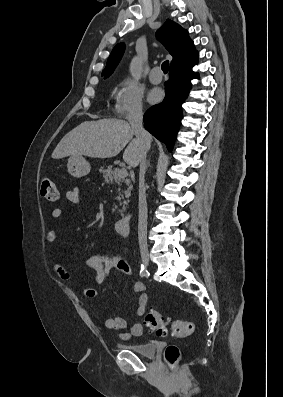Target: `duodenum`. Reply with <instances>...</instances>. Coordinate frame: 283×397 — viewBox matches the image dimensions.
<instances>
[{"label":"duodenum","mask_w":283,"mask_h":397,"mask_svg":"<svg viewBox=\"0 0 283 397\" xmlns=\"http://www.w3.org/2000/svg\"><path fill=\"white\" fill-rule=\"evenodd\" d=\"M131 220L129 216H124L118 219L115 223V229L118 234L127 236L130 232Z\"/></svg>","instance_id":"1"}]
</instances>
